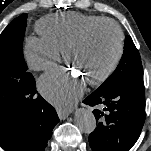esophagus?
<instances>
[{
	"label": "esophagus",
	"instance_id": "obj_1",
	"mask_svg": "<svg viewBox=\"0 0 151 151\" xmlns=\"http://www.w3.org/2000/svg\"><path fill=\"white\" fill-rule=\"evenodd\" d=\"M57 114H58L59 118L63 120L69 116L70 112L65 111V110H57Z\"/></svg>",
	"mask_w": 151,
	"mask_h": 151
}]
</instances>
